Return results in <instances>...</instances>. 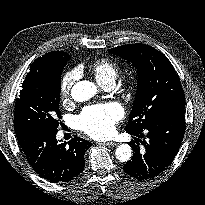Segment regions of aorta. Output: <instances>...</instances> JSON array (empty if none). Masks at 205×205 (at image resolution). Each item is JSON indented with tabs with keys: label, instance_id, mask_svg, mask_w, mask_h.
<instances>
[{
	"label": "aorta",
	"instance_id": "obj_1",
	"mask_svg": "<svg viewBox=\"0 0 205 205\" xmlns=\"http://www.w3.org/2000/svg\"><path fill=\"white\" fill-rule=\"evenodd\" d=\"M97 92V87L90 81H79L71 90V96L76 102H85L91 99ZM116 158L121 162H127L131 159L132 149L128 144H121L116 148Z\"/></svg>",
	"mask_w": 205,
	"mask_h": 205
}]
</instances>
